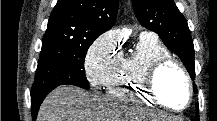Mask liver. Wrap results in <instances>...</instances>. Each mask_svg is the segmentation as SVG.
Listing matches in <instances>:
<instances>
[{
	"label": "liver",
	"instance_id": "obj_1",
	"mask_svg": "<svg viewBox=\"0 0 217 121\" xmlns=\"http://www.w3.org/2000/svg\"><path fill=\"white\" fill-rule=\"evenodd\" d=\"M143 112L126 104L99 97L75 86L54 89L42 103L37 121H135ZM154 121L173 117L156 115Z\"/></svg>",
	"mask_w": 217,
	"mask_h": 121
}]
</instances>
